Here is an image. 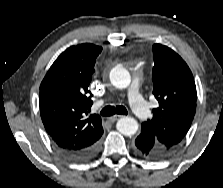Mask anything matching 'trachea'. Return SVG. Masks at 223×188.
Returning <instances> with one entry per match:
<instances>
[{
  "label": "trachea",
  "instance_id": "trachea-1",
  "mask_svg": "<svg viewBox=\"0 0 223 188\" xmlns=\"http://www.w3.org/2000/svg\"><path fill=\"white\" fill-rule=\"evenodd\" d=\"M127 113V109L122 105H117L116 107L106 106L100 112L102 116H112L114 114L127 115Z\"/></svg>",
  "mask_w": 223,
  "mask_h": 188
}]
</instances>
